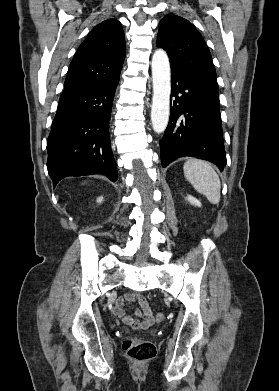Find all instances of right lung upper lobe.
<instances>
[{"label":"right lung upper lobe","instance_id":"cb5924a9","mask_svg":"<svg viewBox=\"0 0 279 391\" xmlns=\"http://www.w3.org/2000/svg\"><path fill=\"white\" fill-rule=\"evenodd\" d=\"M125 54L121 23L108 19L96 25L70 63L62 95L87 90L120 76Z\"/></svg>","mask_w":279,"mask_h":391}]
</instances>
